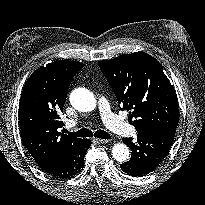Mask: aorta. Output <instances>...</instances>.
<instances>
[{
    "label": "aorta",
    "mask_w": 205,
    "mask_h": 205,
    "mask_svg": "<svg viewBox=\"0 0 205 205\" xmlns=\"http://www.w3.org/2000/svg\"><path fill=\"white\" fill-rule=\"evenodd\" d=\"M70 104L78 111L90 112L96 108V98L92 92L85 88L74 89L69 97ZM129 149L123 143L112 147V156L118 162H126L129 159Z\"/></svg>",
    "instance_id": "762f6f07"
}]
</instances>
